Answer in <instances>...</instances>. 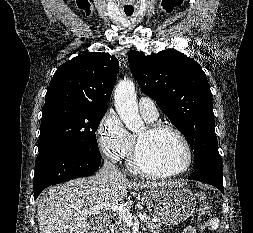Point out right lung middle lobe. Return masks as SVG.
Wrapping results in <instances>:
<instances>
[{"mask_svg":"<svg viewBox=\"0 0 253 233\" xmlns=\"http://www.w3.org/2000/svg\"><path fill=\"white\" fill-rule=\"evenodd\" d=\"M106 110L90 104H45L38 152L60 148L101 157L95 132Z\"/></svg>","mask_w":253,"mask_h":233,"instance_id":"dd1d6c3e","label":"right lung middle lobe"}]
</instances>
